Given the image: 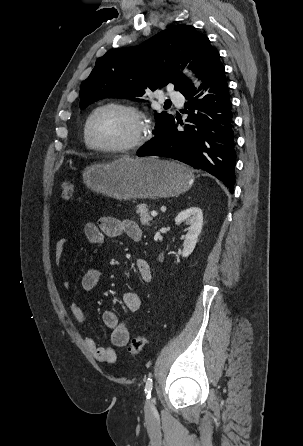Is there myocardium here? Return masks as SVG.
<instances>
[{"label":"myocardium","instance_id":"f54148a6","mask_svg":"<svg viewBox=\"0 0 303 446\" xmlns=\"http://www.w3.org/2000/svg\"><path fill=\"white\" fill-rule=\"evenodd\" d=\"M106 109H117V110L124 111V112L130 114L135 119L136 124H137V131H136L134 137L129 142H127L123 145H119V146H100V145H97L92 140L91 133H90L91 123H92L94 117L99 112L106 110ZM147 133H148V123L145 119L143 112L139 108H137L133 105L117 103V102L106 103V104L100 105L97 108H95L88 116L86 123H85V127H84V138H85L87 145L93 150L100 151V152H106V153H124V152H128V151L137 149L141 145H143L144 142L146 141Z\"/></svg>","mask_w":303,"mask_h":446}]
</instances>
